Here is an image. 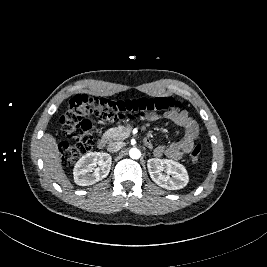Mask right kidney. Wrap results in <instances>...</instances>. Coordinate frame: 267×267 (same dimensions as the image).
Returning <instances> with one entry per match:
<instances>
[{
  "instance_id": "ca27d5eb",
  "label": "right kidney",
  "mask_w": 267,
  "mask_h": 267,
  "mask_svg": "<svg viewBox=\"0 0 267 267\" xmlns=\"http://www.w3.org/2000/svg\"><path fill=\"white\" fill-rule=\"evenodd\" d=\"M98 164L99 167L95 168ZM112 158L103 152H90L75 164L74 182L79 186H89L101 181L109 174Z\"/></svg>"
}]
</instances>
